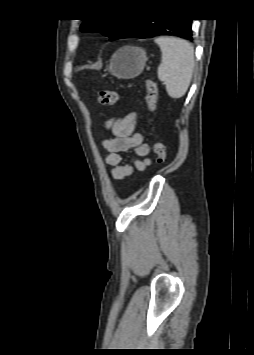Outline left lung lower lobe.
Instances as JSON below:
<instances>
[{"label":"left lung lower lobe","instance_id":"0a47b994","mask_svg":"<svg viewBox=\"0 0 254 355\" xmlns=\"http://www.w3.org/2000/svg\"><path fill=\"white\" fill-rule=\"evenodd\" d=\"M191 18H132L121 38H149L158 35H173L192 40Z\"/></svg>","mask_w":254,"mask_h":355}]
</instances>
